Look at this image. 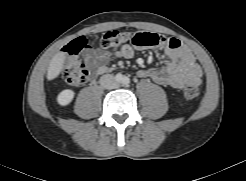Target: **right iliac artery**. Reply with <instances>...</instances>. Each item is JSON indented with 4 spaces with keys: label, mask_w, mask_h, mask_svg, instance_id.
Returning a JSON list of instances; mask_svg holds the SVG:
<instances>
[{
    "label": "right iliac artery",
    "mask_w": 246,
    "mask_h": 181,
    "mask_svg": "<svg viewBox=\"0 0 246 181\" xmlns=\"http://www.w3.org/2000/svg\"><path fill=\"white\" fill-rule=\"evenodd\" d=\"M116 78H117L118 81H121L123 79L121 74H117Z\"/></svg>",
    "instance_id": "1"
}]
</instances>
